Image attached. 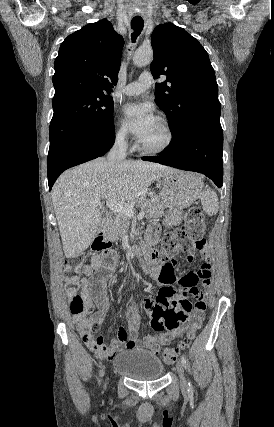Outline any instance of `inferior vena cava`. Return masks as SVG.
<instances>
[{
    "instance_id": "inferior-vena-cava-1",
    "label": "inferior vena cava",
    "mask_w": 274,
    "mask_h": 427,
    "mask_svg": "<svg viewBox=\"0 0 274 427\" xmlns=\"http://www.w3.org/2000/svg\"><path fill=\"white\" fill-rule=\"evenodd\" d=\"M127 142L125 140V136H118L115 140V144L113 148H111L108 156L107 162L108 164H117L120 160H125L127 154Z\"/></svg>"
}]
</instances>
